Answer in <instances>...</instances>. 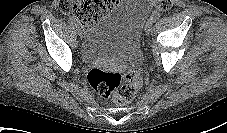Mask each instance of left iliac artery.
<instances>
[{
  "label": "left iliac artery",
  "mask_w": 227,
  "mask_h": 133,
  "mask_svg": "<svg viewBox=\"0 0 227 133\" xmlns=\"http://www.w3.org/2000/svg\"><path fill=\"white\" fill-rule=\"evenodd\" d=\"M159 17H160V13H159V12H154V13L152 14L150 20H151L152 22H156V21L159 19Z\"/></svg>",
  "instance_id": "left-iliac-artery-1"
}]
</instances>
